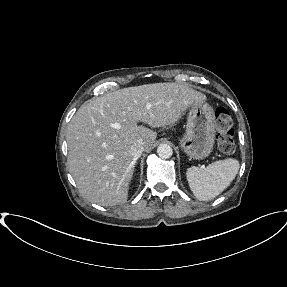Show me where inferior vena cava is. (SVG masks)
I'll use <instances>...</instances> for the list:
<instances>
[{
    "mask_svg": "<svg viewBox=\"0 0 287 287\" xmlns=\"http://www.w3.org/2000/svg\"><path fill=\"white\" fill-rule=\"evenodd\" d=\"M144 149L145 148H144L143 143H141V142L135 143L130 148V154L134 160H137L141 156Z\"/></svg>",
    "mask_w": 287,
    "mask_h": 287,
    "instance_id": "obj_1",
    "label": "inferior vena cava"
}]
</instances>
